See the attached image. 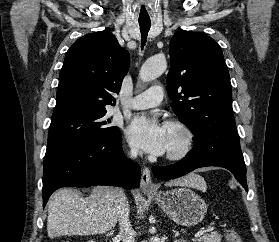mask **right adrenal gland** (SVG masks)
<instances>
[{"instance_id": "obj_1", "label": "right adrenal gland", "mask_w": 279, "mask_h": 242, "mask_svg": "<svg viewBox=\"0 0 279 242\" xmlns=\"http://www.w3.org/2000/svg\"><path fill=\"white\" fill-rule=\"evenodd\" d=\"M113 233H114V230H111L109 234H110V235H113Z\"/></svg>"}]
</instances>
